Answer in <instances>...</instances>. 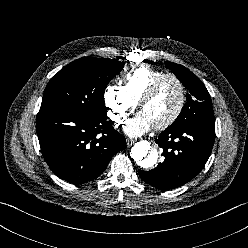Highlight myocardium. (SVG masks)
<instances>
[{"instance_id": "myocardium-1", "label": "myocardium", "mask_w": 248, "mask_h": 248, "mask_svg": "<svg viewBox=\"0 0 248 248\" xmlns=\"http://www.w3.org/2000/svg\"><path fill=\"white\" fill-rule=\"evenodd\" d=\"M166 79H173L178 84L180 89V102L177 109L170 117L159 124L153 125V128L155 130H163L172 125L180 117L186 104L187 92L184 83L178 76L169 73L159 76L151 83V85L147 88V90L144 92L139 102L137 103L138 109L141 110L143 105L146 104L154 96L160 84Z\"/></svg>"}]
</instances>
